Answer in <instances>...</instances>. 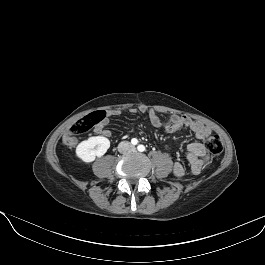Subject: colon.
<instances>
[{"label":"colon","instance_id":"colon-1","mask_svg":"<svg viewBox=\"0 0 265 265\" xmlns=\"http://www.w3.org/2000/svg\"><path fill=\"white\" fill-rule=\"evenodd\" d=\"M105 118V113L101 110L91 112L82 118H80L76 123H74L67 134L65 135L63 141L67 146H74L80 135L88 132L98 123H100ZM205 147L212 156H220L223 152V143L218 135H210L205 139Z\"/></svg>","mask_w":265,"mask_h":265}]
</instances>
